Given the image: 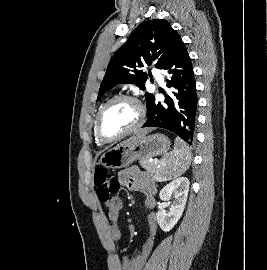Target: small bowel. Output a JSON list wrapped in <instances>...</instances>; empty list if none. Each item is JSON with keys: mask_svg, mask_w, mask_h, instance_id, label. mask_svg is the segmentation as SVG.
<instances>
[{"mask_svg": "<svg viewBox=\"0 0 267 270\" xmlns=\"http://www.w3.org/2000/svg\"><path fill=\"white\" fill-rule=\"evenodd\" d=\"M120 181L130 190L139 191L145 196L144 204L152 209L156 205V187L152 180L138 167H130L120 172ZM109 220V236L112 241H119L122 232L119 227V210L122 207L120 197H113L106 202ZM148 237L143 243L140 252L135 257H116L115 264L118 270H142L155 243L157 233L156 217L153 213L147 215Z\"/></svg>", "mask_w": 267, "mask_h": 270, "instance_id": "obj_1", "label": "small bowel"}]
</instances>
